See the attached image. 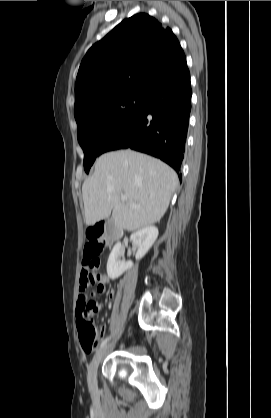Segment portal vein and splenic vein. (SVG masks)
Segmentation results:
<instances>
[{
  "label": "portal vein and splenic vein",
  "mask_w": 271,
  "mask_h": 418,
  "mask_svg": "<svg viewBox=\"0 0 271 418\" xmlns=\"http://www.w3.org/2000/svg\"><path fill=\"white\" fill-rule=\"evenodd\" d=\"M121 200L123 201V202H125L126 200H127V197H126V195H121ZM133 207H137L136 205H132Z\"/></svg>",
  "instance_id": "1"
}]
</instances>
